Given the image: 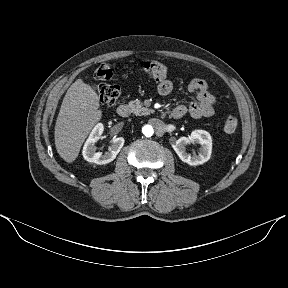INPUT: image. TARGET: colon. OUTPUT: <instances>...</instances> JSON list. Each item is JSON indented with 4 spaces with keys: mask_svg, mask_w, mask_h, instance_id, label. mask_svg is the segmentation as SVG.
<instances>
[{
    "mask_svg": "<svg viewBox=\"0 0 288 288\" xmlns=\"http://www.w3.org/2000/svg\"><path fill=\"white\" fill-rule=\"evenodd\" d=\"M144 73L151 79L164 80L168 73V68L164 63L158 61H147L143 64ZM113 76L112 68L107 64L100 65L95 71V78L101 81H108ZM94 90L101 102L112 105L120 96V88L117 85L100 83L94 86ZM238 125V120L234 115H228L224 119V130L233 133Z\"/></svg>",
    "mask_w": 288,
    "mask_h": 288,
    "instance_id": "1",
    "label": "colon"
}]
</instances>
